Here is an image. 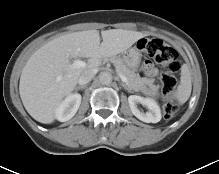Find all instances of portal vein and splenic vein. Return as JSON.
I'll list each match as a JSON object with an SVG mask.
<instances>
[{"label": "portal vein and splenic vein", "instance_id": "18ae733b", "mask_svg": "<svg viewBox=\"0 0 219 174\" xmlns=\"http://www.w3.org/2000/svg\"><path fill=\"white\" fill-rule=\"evenodd\" d=\"M85 66H86V63L81 60H75L72 64L73 68H83ZM120 78L123 82L127 83V78L124 75L120 74Z\"/></svg>", "mask_w": 219, "mask_h": 174}]
</instances>
